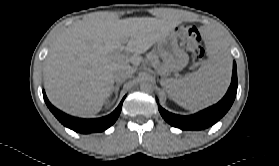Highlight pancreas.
Wrapping results in <instances>:
<instances>
[{
	"mask_svg": "<svg viewBox=\"0 0 279 166\" xmlns=\"http://www.w3.org/2000/svg\"><path fill=\"white\" fill-rule=\"evenodd\" d=\"M148 59L152 62V63H158V56L155 53H149L148 54Z\"/></svg>",
	"mask_w": 279,
	"mask_h": 166,
	"instance_id": "1",
	"label": "pancreas"
}]
</instances>
